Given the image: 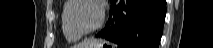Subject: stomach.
<instances>
[{
	"instance_id": "1",
	"label": "stomach",
	"mask_w": 213,
	"mask_h": 48,
	"mask_svg": "<svg viewBox=\"0 0 213 48\" xmlns=\"http://www.w3.org/2000/svg\"><path fill=\"white\" fill-rule=\"evenodd\" d=\"M105 46H111V45L108 42L101 41V42L95 43L92 47H88V48H104Z\"/></svg>"
}]
</instances>
